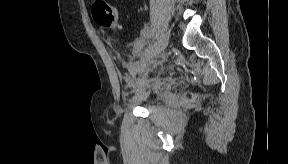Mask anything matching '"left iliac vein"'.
Masks as SVG:
<instances>
[{
  "mask_svg": "<svg viewBox=\"0 0 288 164\" xmlns=\"http://www.w3.org/2000/svg\"><path fill=\"white\" fill-rule=\"evenodd\" d=\"M169 36H170L169 31H165L160 34L156 46L154 48L153 54L151 58L142 65L141 72L148 71L149 67L156 62L157 58L161 55V53L165 50V48L168 45Z\"/></svg>",
  "mask_w": 288,
  "mask_h": 164,
  "instance_id": "1",
  "label": "left iliac vein"
}]
</instances>
